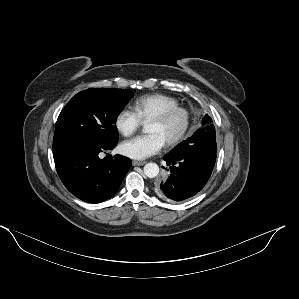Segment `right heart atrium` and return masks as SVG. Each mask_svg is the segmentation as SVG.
I'll use <instances>...</instances> for the list:
<instances>
[{"instance_id":"1","label":"right heart atrium","mask_w":299,"mask_h":299,"mask_svg":"<svg viewBox=\"0 0 299 299\" xmlns=\"http://www.w3.org/2000/svg\"><path fill=\"white\" fill-rule=\"evenodd\" d=\"M140 124V118L129 107L121 108L114 118V127L123 136H130L135 133Z\"/></svg>"}]
</instances>
